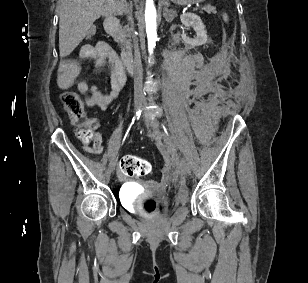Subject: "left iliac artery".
<instances>
[{"instance_id": "44dca946", "label": "left iliac artery", "mask_w": 308, "mask_h": 283, "mask_svg": "<svg viewBox=\"0 0 308 283\" xmlns=\"http://www.w3.org/2000/svg\"><path fill=\"white\" fill-rule=\"evenodd\" d=\"M164 124L166 125V123H164ZM163 128H164V132L166 133V136H168L167 138L169 139V134H168V132H167L166 126L163 125Z\"/></svg>"}]
</instances>
